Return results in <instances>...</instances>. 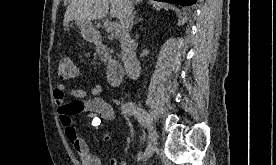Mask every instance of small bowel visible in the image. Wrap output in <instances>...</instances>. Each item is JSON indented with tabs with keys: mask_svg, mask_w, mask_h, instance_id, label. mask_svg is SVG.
<instances>
[{
	"mask_svg": "<svg viewBox=\"0 0 276 165\" xmlns=\"http://www.w3.org/2000/svg\"><path fill=\"white\" fill-rule=\"evenodd\" d=\"M102 87L92 84L88 88H69L58 84L53 90V99L57 106L59 121L73 149L78 154L82 165H102L101 159L92 153L91 149L78 132L74 117L84 111L92 116V125L97 127L103 121H113V107L102 97ZM71 97L72 100H67ZM109 165H126L124 158H112Z\"/></svg>",
	"mask_w": 276,
	"mask_h": 165,
	"instance_id": "obj_1",
	"label": "small bowel"
}]
</instances>
